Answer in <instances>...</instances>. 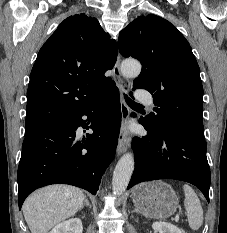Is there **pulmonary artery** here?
Segmentation results:
<instances>
[{
    "label": "pulmonary artery",
    "mask_w": 227,
    "mask_h": 233,
    "mask_svg": "<svg viewBox=\"0 0 227 233\" xmlns=\"http://www.w3.org/2000/svg\"><path fill=\"white\" fill-rule=\"evenodd\" d=\"M138 99L144 104L152 105V98L143 92L138 93Z\"/></svg>",
    "instance_id": "obj_1"
}]
</instances>
